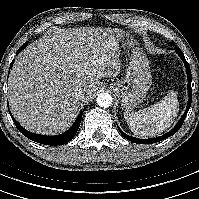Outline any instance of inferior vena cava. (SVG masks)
I'll list each match as a JSON object with an SVG mask.
<instances>
[{
    "instance_id": "1",
    "label": "inferior vena cava",
    "mask_w": 199,
    "mask_h": 199,
    "mask_svg": "<svg viewBox=\"0 0 199 199\" xmlns=\"http://www.w3.org/2000/svg\"><path fill=\"white\" fill-rule=\"evenodd\" d=\"M73 96L77 100H81L84 97V91L82 89H76L73 92Z\"/></svg>"
}]
</instances>
